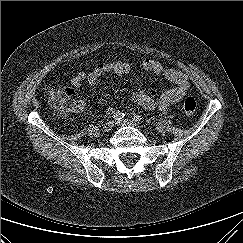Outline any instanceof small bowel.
Segmentation results:
<instances>
[{
    "label": "small bowel",
    "instance_id": "1",
    "mask_svg": "<svg viewBox=\"0 0 243 243\" xmlns=\"http://www.w3.org/2000/svg\"><path fill=\"white\" fill-rule=\"evenodd\" d=\"M141 69L146 73L162 77L171 84V87L164 90L157 99L144 91L134 92L131 95V99L145 110L159 108L161 111H166L170 105L179 102L189 88V81L185 74L175 69H166L157 60H144L141 64ZM130 71V65L124 61L100 63L89 72H80L75 75L71 80V85L75 88L80 87L84 82L96 85L100 77L105 74L113 73L120 77H125ZM114 112L115 109L113 107L107 109L108 114H113Z\"/></svg>",
    "mask_w": 243,
    "mask_h": 243
}]
</instances>
